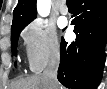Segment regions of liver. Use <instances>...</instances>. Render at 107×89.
Here are the masks:
<instances>
[{
	"mask_svg": "<svg viewBox=\"0 0 107 89\" xmlns=\"http://www.w3.org/2000/svg\"><path fill=\"white\" fill-rule=\"evenodd\" d=\"M9 89H50V85L48 80L39 74L18 79L10 85ZM58 89H62L59 83Z\"/></svg>",
	"mask_w": 107,
	"mask_h": 89,
	"instance_id": "6515ba94",
	"label": "liver"
}]
</instances>
